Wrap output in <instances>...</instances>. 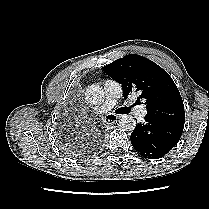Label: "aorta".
<instances>
[{"instance_id": "aorta-1", "label": "aorta", "mask_w": 209, "mask_h": 209, "mask_svg": "<svg viewBox=\"0 0 209 209\" xmlns=\"http://www.w3.org/2000/svg\"><path fill=\"white\" fill-rule=\"evenodd\" d=\"M85 97L90 104H101L105 98L104 90L99 85L88 86L85 91ZM119 127L125 131H132L136 127V121L131 115L124 114L119 120Z\"/></svg>"}]
</instances>
